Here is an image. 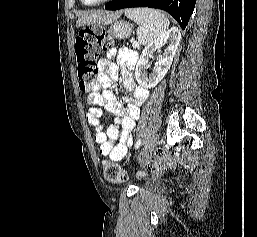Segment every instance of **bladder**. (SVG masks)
I'll list each match as a JSON object with an SVG mask.
<instances>
[{"mask_svg":"<svg viewBox=\"0 0 257 237\" xmlns=\"http://www.w3.org/2000/svg\"><path fill=\"white\" fill-rule=\"evenodd\" d=\"M155 185L156 184H155L154 181H148V182H146L145 187L150 189V190H154L155 189Z\"/></svg>","mask_w":257,"mask_h":237,"instance_id":"1","label":"bladder"}]
</instances>
